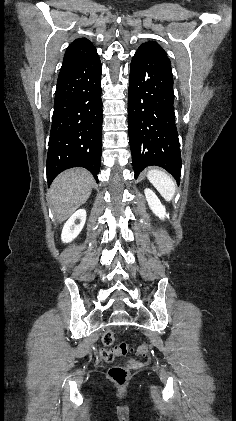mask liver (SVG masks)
I'll return each mask as SVG.
<instances>
[{"instance_id":"1","label":"liver","mask_w":236,"mask_h":421,"mask_svg":"<svg viewBox=\"0 0 236 421\" xmlns=\"http://www.w3.org/2000/svg\"><path fill=\"white\" fill-rule=\"evenodd\" d=\"M94 184L96 182L86 168H69L56 176L49 188V198L59 223L66 221L86 202Z\"/></svg>"}]
</instances>
